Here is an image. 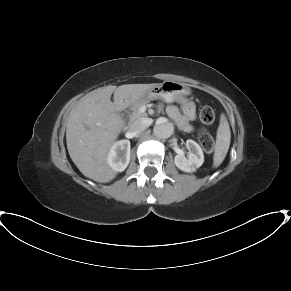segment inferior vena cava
<instances>
[{"mask_svg": "<svg viewBox=\"0 0 291 291\" xmlns=\"http://www.w3.org/2000/svg\"><path fill=\"white\" fill-rule=\"evenodd\" d=\"M151 122L152 121L150 118L137 119L130 124L128 132L132 136H135V135L141 133L142 131H144L147 127H149Z\"/></svg>", "mask_w": 291, "mask_h": 291, "instance_id": "1", "label": "inferior vena cava"}]
</instances>
